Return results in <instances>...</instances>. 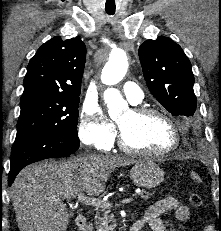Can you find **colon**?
Segmentation results:
<instances>
[{
    "instance_id": "5ec220e1",
    "label": "colon",
    "mask_w": 221,
    "mask_h": 231,
    "mask_svg": "<svg viewBox=\"0 0 221 231\" xmlns=\"http://www.w3.org/2000/svg\"><path fill=\"white\" fill-rule=\"evenodd\" d=\"M189 202H190V204H191L193 207L198 208V207H201V206H202V204H203V199H202V197H201L199 194H197V193H191V194L189 195Z\"/></svg>"
}]
</instances>
